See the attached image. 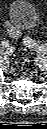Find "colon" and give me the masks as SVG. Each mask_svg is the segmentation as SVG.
I'll return each mask as SVG.
<instances>
[{"mask_svg": "<svg viewBox=\"0 0 47 129\" xmlns=\"http://www.w3.org/2000/svg\"><path fill=\"white\" fill-rule=\"evenodd\" d=\"M6 27H7V30L9 32V34L13 38H19V36H20L19 32L14 27H12L8 22H6ZM24 42H25L26 45H28L30 47L31 43H32V40L30 38H26L24 40Z\"/></svg>", "mask_w": 47, "mask_h": 129, "instance_id": "5ec220e1", "label": "colon"}]
</instances>
